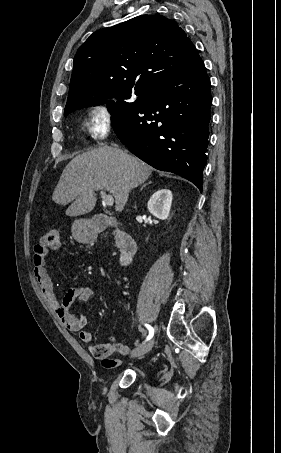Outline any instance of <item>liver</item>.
I'll list each match as a JSON object with an SVG mask.
<instances>
[{"label":"liver","instance_id":"6515ba94","mask_svg":"<svg viewBox=\"0 0 281 453\" xmlns=\"http://www.w3.org/2000/svg\"><path fill=\"white\" fill-rule=\"evenodd\" d=\"M152 166L128 154L118 144H103L74 156L65 166L52 194L57 204H68V216H80L93 210L95 190H108L115 198V208L123 210L132 188L152 174Z\"/></svg>","mask_w":281,"mask_h":453}]
</instances>
